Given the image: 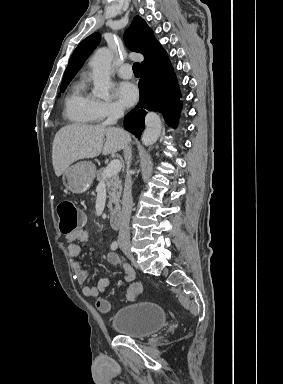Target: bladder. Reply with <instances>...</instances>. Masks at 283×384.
<instances>
[{"instance_id":"obj_1","label":"bladder","mask_w":283,"mask_h":384,"mask_svg":"<svg viewBox=\"0 0 283 384\" xmlns=\"http://www.w3.org/2000/svg\"><path fill=\"white\" fill-rule=\"evenodd\" d=\"M167 314L162 304L143 300L121 306L111 325L118 335L144 338L163 328Z\"/></svg>"}]
</instances>
